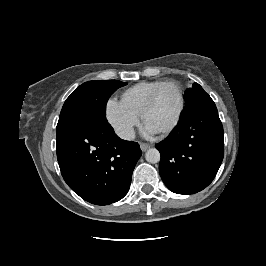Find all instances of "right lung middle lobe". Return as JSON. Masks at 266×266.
Returning <instances> with one entry per match:
<instances>
[{
    "instance_id": "obj_1",
    "label": "right lung middle lobe",
    "mask_w": 266,
    "mask_h": 266,
    "mask_svg": "<svg viewBox=\"0 0 266 266\" xmlns=\"http://www.w3.org/2000/svg\"><path fill=\"white\" fill-rule=\"evenodd\" d=\"M127 83L118 80L89 81L80 85L66 99L57 124L56 142L93 120L106 119L109 97Z\"/></svg>"
}]
</instances>
